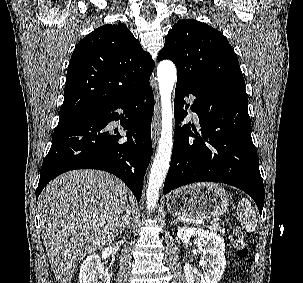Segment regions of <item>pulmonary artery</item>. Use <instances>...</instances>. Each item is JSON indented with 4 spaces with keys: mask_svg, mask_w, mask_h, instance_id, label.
<instances>
[{
    "mask_svg": "<svg viewBox=\"0 0 303 283\" xmlns=\"http://www.w3.org/2000/svg\"><path fill=\"white\" fill-rule=\"evenodd\" d=\"M194 117H196L197 118V115L194 113Z\"/></svg>",
    "mask_w": 303,
    "mask_h": 283,
    "instance_id": "obj_1",
    "label": "pulmonary artery"
}]
</instances>
